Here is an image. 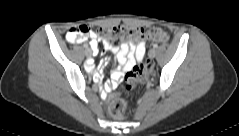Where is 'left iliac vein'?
<instances>
[{"label":"left iliac vein","mask_w":239,"mask_h":136,"mask_svg":"<svg viewBox=\"0 0 239 136\" xmlns=\"http://www.w3.org/2000/svg\"><path fill=\"white\" fill-rule=\"evenodd\" d=\"M148 56L150 58H154L156 56V51L155 49H150L149 52H148Z\"/></svg>","instance_id":"left-iliac-vein-1"}]
</instances>
